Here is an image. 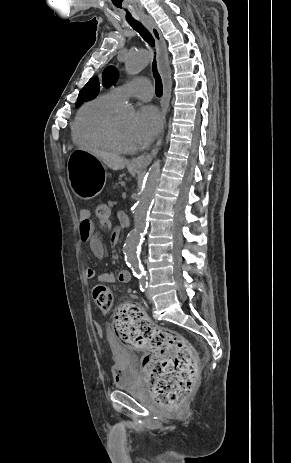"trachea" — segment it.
I'll use <instances>...</instances> for the list:
<instances>
[{"instance_id": "1", "label": "trachea", "mask_w": 291, "mask_h": 463, "mask_svg": "<svg viewBox=\"0 0 291 463\" xmlns=\"http://www.w3.org/2000/svg\"><path fill=\"white\" fill-rule=\"evenodd\" d=\"M130 25L133 27L134 30H136L141 36L142 38L151 46V47H154V44H155V40L152 36V34L150 33V31L144 27L140 22H131ZM153 74H154V77H155V91H156V95L158 97H161L162 96V93H163V86H162V80H161V77H160V74L158 73V70H157V65H156V60L154 59L153 61Z\"/></svg>"}]
</instances>
